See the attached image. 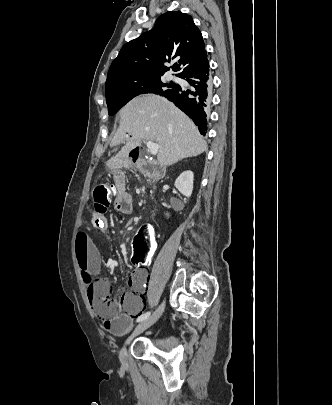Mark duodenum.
Instances as JSON below:
<instances>
[{
	"label": "duodenum",
	"mask_w": 332,
	"mask_h": 405,
	"mask_svg": "<svg viewBox=\"0 0 332 405\" xmlns=\"http://www.w3.org/2000/svg\"><path fill=\"white\" fill-rule=\"evenodd\" d=\"M129 159L132 163H137L138 161H140V153L138 151H131L129 153ZM150 170L153 174V177L155 179H161L162 178V173L158 170L157 167L155 166H151Z\"/></svg>",
	"instance_id": "obj_1"
}]
</instances>
